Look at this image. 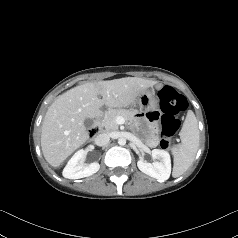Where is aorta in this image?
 I'll list each match as a JSON object with an SVG mask.
<instances>
[{
    "instance_id": "aorta-1",
    "label": "aorta",
    "mask_w": 238,
    "mask_h": 238,
    "mask_svg": "<svg viewBox=\"0 0 238 238\" xmlns=\"http://www.w3.org/2000/svg\"><path fill=\"white\" fill-rule=\"evenodd\" d=\"M118 144H119L120 146H124V145L126 144V139L123 138V137L119 138V139H118Z\"/></svg>"
}]
</instances>
